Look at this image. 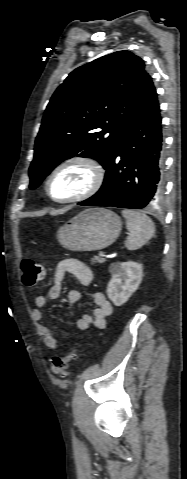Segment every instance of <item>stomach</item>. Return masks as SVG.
Wrapping results in <instances>:
<instances>
[{"mask_svg": "<svg viewBox=\"0 0 187 479\" xmlns=\"http://www.w3.org/2000/svg\"><path fill=\"white\" fill-rule=\"evenodd\" d=\"M120 217L105 208H90L69 220L57 231L59 243L73 251H96L108 247L119 236Z\"/></svg>", "mask_w": 187, "mask_h": 479, "instance_id": "0dacf381", "label": "stomach"}]
</instances>
